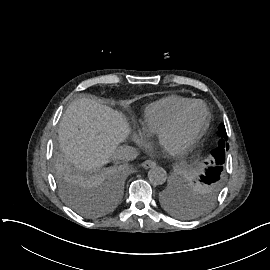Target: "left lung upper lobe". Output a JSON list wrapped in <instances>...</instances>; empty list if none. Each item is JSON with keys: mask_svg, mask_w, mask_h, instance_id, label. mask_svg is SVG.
Here are the masks:
<instances>
[{"mask_svg": "<svg viewBox=\"0 0 270 270\" xmlns=\"http://www.w3.org/2000/svg\"><path fill=\"white\" fill-rule=\"evenodd\" d=\"M221 140L219 141V147L212 151V156L215 162L211 161L212 167L206 169L205 174L200 177L197 183L198 192L205 197H212L220 188L221 185V173L223 171L222 165L225 162V151L229 149V144L225 141L227 140L226 129L223 124L219 127ZM166 205L175 213H180L181 211L177 209L176 202L173 199L166 198Z\"/></svg>", "mask_w": 270, "mask_h": 270, "instance_id": "5c2ea615", "label": "left lung upper lobe"}]
</instances>
